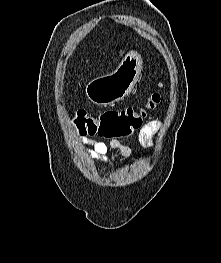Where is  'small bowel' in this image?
<instances>
[{
    "instance_id": "small-bowel-1",
    "label": "small bowel",
    "mask_w": 221,
    "mask_h": 263,
    "mask_svg": "<svg viewBox=\"0 0 221 263\" xmlns=\"http://www.w3.org/2000/svg\"><path fill=\"white\" fill-rule=\"evenodd\" d=\"M160 122H150L139 130L138 140L142 146H150L153 143V134L160 127ZM79 142L90 144V147L84 148L82 152L92 158L99 160L104 165L109 164L108 154L111 149L118 150L122 156L132 159V150L129 146L122 144L119 140H110L109 142H91L86 138H79Z\"/></svg>"
}]
</instances>
